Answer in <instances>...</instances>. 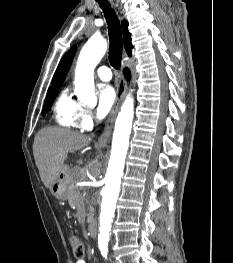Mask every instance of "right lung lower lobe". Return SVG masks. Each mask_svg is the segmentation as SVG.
Wrapping results in <instances>:
<instances>
[{"label":"right lung lower lobe","mask_w":233,"mask_h":263,"mask_svg":"<svg viewBox=\"0 0 233 263\" xmlns=\"http://www.w3.org/2000/svg\"><path fill=\"white\" fill-rule=\"evenodd\" d=\"M125 76L127 79L130 77V71L128 69H125Z\"/></svg>","instance_id":"1"}]
</instances>
